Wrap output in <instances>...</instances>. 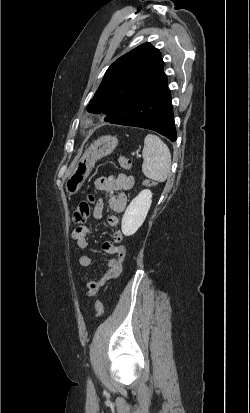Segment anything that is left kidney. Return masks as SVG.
Listing matches in <instances>:
<instances>
[{
    "label": "left kidney",
    "instance_id": "obj_1",
    "mask_svg": "<svg viewBox=\"0 0 250 413\" xmlns=\"http://www.w3.org/2000/svg\"><path fill=\"white\" fill-rule=\"evenodd\" d=\"M152 203V192L142 190L127 207L121 222V229L125 236H131L144 223Z\"/></svg>",
    "mask_w": 250,
    "mask_h": 413
}]
</instances>
